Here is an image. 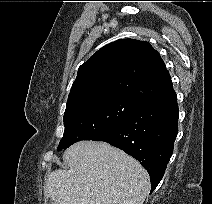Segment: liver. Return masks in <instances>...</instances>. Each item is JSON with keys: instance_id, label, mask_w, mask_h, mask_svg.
Returning <instances> with one entry per match:
<instances>
[{"instance_id": "6515ba94", "label": "liver", "mask_w": 212, "mask_h": 204, "mask_svg": "<svg viewBox=\"0 0 212 204\" xmlns=\"http://www.w3.org/2000/svg\"><path fill=\"white\" fill-rule=\"evenodd\" d=\"M69 170L53 171L44 186L55 204H143L147 171L133 157L105 142L80 141L63 155Z\"/></svg>"}]
</instances>
